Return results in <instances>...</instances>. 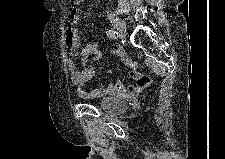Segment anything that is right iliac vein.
Instances as JSON below:
<instances>
[{
	"mask_svg": "<svg viewBox=\"0 0 225 159\" xmlns=\"http://www.w3.org/2000/svg\"><path fill=\"white\" fill-rule=\"evenodd\" d=\"M109 20L111 21V23L114 25L115 28H117V30L123 34L126 26L125 23L114 13H110L109 14Z\"/></svg>",
	"mask_w": 225,
	"mask_h": 159,
	"instance_id": "1",
	"label": "right iliac vein"
}]
</instances>
